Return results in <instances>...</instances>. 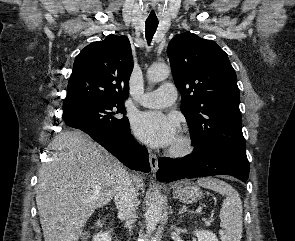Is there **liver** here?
Here are the masks:
<instances>
[{
	"label": "liver",
	"instance_id": "1",
	"mask_svg": "<svg viewBox=\"0 0 295 241\" xmlns=\"http://www.w3.org/2000/svg\"><path fill=\"white\" fill-rule=\"evenodd\" d=\"M51 149L55 152L40 169L36 188L44 241H78L89 217L113 198L122 165L79 131L59 134ZM133 181L143 186L139 176Z\"/></svg>",
	"mask_w": 295,
	"mask_h": 241
}]
</instances>
